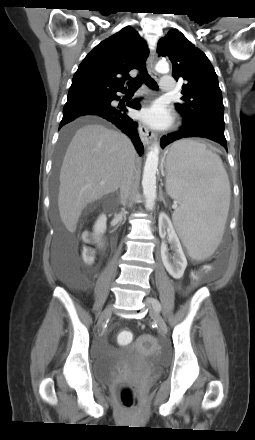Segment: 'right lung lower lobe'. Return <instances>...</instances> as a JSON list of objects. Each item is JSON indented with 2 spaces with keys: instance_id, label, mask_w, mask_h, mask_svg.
Returning a JSON list of instances; mask_svg holds the SVG:
<instances>
[{
  "instance_id": "98d812e1",
  "label": "right lung lower lobe",
  "mask_w": 255,
  "mask_h": 440,
  "mask_svg": "<svg viewBox=\"0 0 255 440\" xmlns=\"http://www.w3.org/2000/svg\"><path fill=\"white\" fill-rule=\"evenodd\" d=\"M124 92V89L119 90ZM117 92V91H116ZM116 92L100 95H83L75 98H68L64 110L63 118L59 128L65 124L84 115H97L112 123L127 134L132 140L136 150L140 155L144 148L137 133V123L126 115L125 107H114L111 105L113 100L118 99ZM139 99L132 100L128 106L134 109H140Z\"/></svg>"
}]
</instances>
